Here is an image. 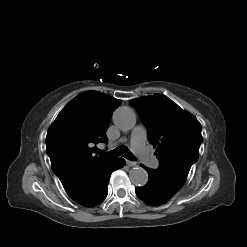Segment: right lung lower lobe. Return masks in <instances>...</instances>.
Masks as SVG:
<instances>
[{"instance_id":"1","label":"right lung lower lobe","mask_w":247,"mask_h":247,"mask_svg":"<svg viewBox=\"0 0 247 247\" xmlns=\"http://www.w3.org/2000/svg\"><path fill=\"white\" fill-rule=\"evenodd\" d=\"M125 165L122 158H113L101 168L79 178L65 188L68 195L77 203L93 207L102 203L108 194L111 173Z\"/></svg>"}]
</instances>
